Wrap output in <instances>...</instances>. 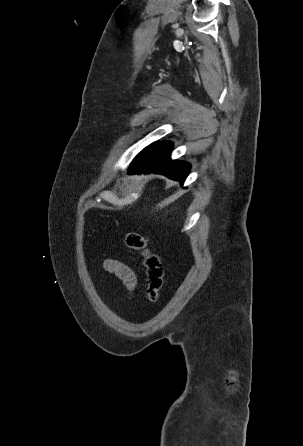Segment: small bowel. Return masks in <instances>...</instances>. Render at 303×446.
<instances>
[{
  "label": "small bowel",
  "instance_id": "1",
  "mask_svg": "<svg viewBox=\"0 0 303 446\" xmlns=\"http://www.w3.org/2000/svg\"><path fill=\"white\" fill-rule=\"evenodd\" d=\"M105 268L120 278L129 290H132L135 287L136 276L132 269L127 265L116 260H107L105 262Z\"/></svg>",
  "mask_w": 303,
  "mask_h": 446
}]
</instances>
